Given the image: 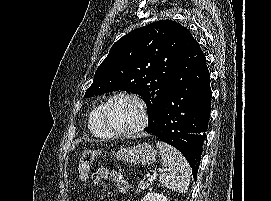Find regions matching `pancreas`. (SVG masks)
<instances>
[{
  "mask_svg": "<svg viewBox=\"0 0 271 201\" xmlns=\"http://www.w3.org/2000/svg\"><path fill=\"white\" fill-rule=\"evenodd\" d=\"M150 186H151V183H150V182H147V181L142 180V181H140V183L138 184V188H137V190H136V193H139V192H141L142 190H145V189H147V188L150 187Z\"/></svg>",
  "mask_w": 271,
  "mask_h": 201,
  "instance_id": "cf45deb5",
  "label": "pancreas"
}]
</instances>
